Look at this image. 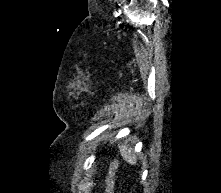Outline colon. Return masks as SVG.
<instances>
[{
  "instance_id": "5ec220e1",
  "label": "colon",
  "mask_w": 221,
  "mask_h": 193,
  "mask_svg": "<svg viewBox=\"0 0 221 193\" xmlns=\"http://www.w3.org/2000/svg\"><path fill=\"white\" fill-rule=\"evenodd\" d=\"M118 169V161L112 160L106 176V193H113L115 187V174Z\"/></svg>"
}]
</instances>
